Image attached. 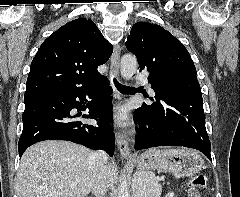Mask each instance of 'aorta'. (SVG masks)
<instances>
[{"instance_id": "obj_1", "label": "aorta", "mask_w": 240, "mask_h": 197, "mask_svg": "<svg viewBox=\"0 0 240 197\" xmlns=\"http://www.w3.org/2000/svg\"><path fill=\"white\" fill-rule=\"evenodd\" d=\"M137 67H138V64L135 56L126 54L121 58L120 72H121V76L124 79L126 80L131 79L133 75L136 73ZM143 176H144V186L146 188L145 192L143 193V196L145 197V195L147 194L146 190H148L150 186H149L148 176L145 174ZM118 197H130L127 181L123 178L121 179L118 187Z\"/></svg>"}]
</instances>
